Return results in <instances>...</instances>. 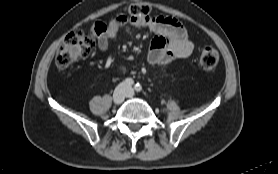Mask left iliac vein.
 Masks as SVG:
<instances>
[{
  "mask_svg": "<svg viewBox=\"0 0 278 174\" xmlns=\"http://www.w3.org/2000/svg\"><path fill=\"white\" fill-rule=\"evenodd\" d=\"M126 96L127 97H133L134 96V92L129 87L126 88Z\"/></svg>",
  "mask_w": 278,
  "mask_h": 174,
  "instance_id": "left-iliac-vein-1",
  "label": "left iliac vein"
}]
</instances>
